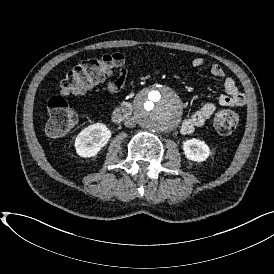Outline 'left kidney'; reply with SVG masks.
I'll list each match as a JSON object with an SVG mask.
<instances>
[{"mask_svg":"<svg viewBox=\"0 0 274 274\" xmlns=\"http://www.w3.org/2000/svg\"><path fill=\"white\" fill-rule=\"evenodd\" d=\"M183 151L187 159L196 162L205 161L210 155L208 145L195 138L183 142Z\"/></svg>","mask_w":274,"mask_h":274,"instance_id":"left-kidney-1","label":"left kidney"}]
</instances>
